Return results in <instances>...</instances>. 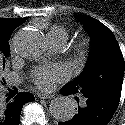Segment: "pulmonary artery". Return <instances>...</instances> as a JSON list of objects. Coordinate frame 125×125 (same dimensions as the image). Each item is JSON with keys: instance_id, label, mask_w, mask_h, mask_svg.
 <instances>
[{"instance_id": "1", "label": "pulmonary artery", "mask_w": 125, "mask_h": 125, "mask_svg": "<svg viewBox=\"0 0 125 125\" xmlns=\"http://www.w3.org/2000/svg\"><path fill=\"white\" fill-rule=\"evenodd\" d=\"M49 43L52 49L57 51L64 47L65 41L59 38H50Z\"/></svg>"}]
</instances>
